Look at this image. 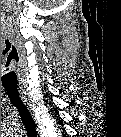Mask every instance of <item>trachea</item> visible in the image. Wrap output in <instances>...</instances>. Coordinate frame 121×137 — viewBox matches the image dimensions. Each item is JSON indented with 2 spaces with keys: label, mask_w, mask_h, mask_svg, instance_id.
<instances>
[{
  "label": "trachea",
  "mask_w": 121,
  "mask_h": 137,
  "mask_svg": "<svg viewBox=\"0 0 121 137\" xmlns=\"http://www.w3.org/2000/svg\"><path fill=\"white\" fill-rule=\"evenodd\" d=\"M18 60V52L13 48L10 57L7 58L4 63L3 76L1 77V80L12 104L18 109L26 129L32 130L35 128L33 118L21 100L18 92V72L15 68V64Z\"/></svg>",
  "instance_id": "1"
}]
</instances>
